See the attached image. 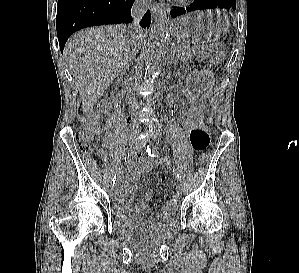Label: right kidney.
I'll return each instance as SVG.
<instances>
[{"label":"right kidney","mask_w":299,"mask_h":273,"mask_svg":"<svg viewBox=\"0 0 299 273\" xmlns=\"http://www.w3.org/2000/svg\"><path fill=\"white\" fill-rule=\"evenodd\" d=\"M104 106H106L107 105V103H102Z\"/></svg>","instance_id":"1"}]
</instances>
